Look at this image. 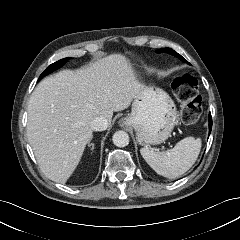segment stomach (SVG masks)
<instances>
[{
  "label": "stomach",
  "instance_id": "0dacf381",
  "mask_svg": "<svg viewBox=\"0 0 240 240\" xmlns=\"http://www.w3.org/2000/svg\"><path fill=\"white\" fill-rule=\"evenodd\" d=\"M177 119L173 100L162 89L144 86L134 97L131 113L122 119L134 128L142 145L160 144L171 134Z\"/></svg>",
  "mask_w": 240,
  "mask_h": 240
}]
</instances>
